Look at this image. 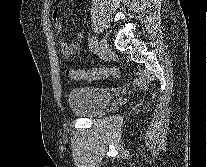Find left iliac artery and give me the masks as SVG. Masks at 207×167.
Here are the masks:
<instances>
[{"mask_svg": "<svg viewBox=\"0 0 207 167\" xmlns=\"http://www.w3.org/2000/svg\"><path fill=\"white\" fill-rule=\"evenodd\" d=\"M97 40L95 36H92L90 41H89V47L90 49L94 48L95 44H96Z\"/></svg>", "mask_w": 207, "mask_h": 167, "instance_id": "1", "label": "left iliac artery"}]
</instances>
